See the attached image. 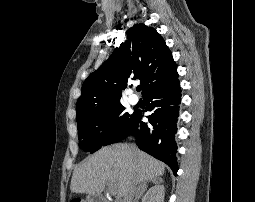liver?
I'll return each instance as SVG.
<instances>
[{"instance_id":"6515ba94","label":"liver","mask_w":255,"mask_h":202,"mask_svg":"<svg viewBox=\"0 0 255 202\" xmlns=\"http://www.w3.org/2000/svg\"><path fill=\"white\" fill-rule=\"evenodd\" d=\"M165 172V164L136 147L119 143L103 147L73 172L72 193L99 195L106 182L114 184L118 198L135 182L150 181Z\"/></svg>"}]
</instances>
